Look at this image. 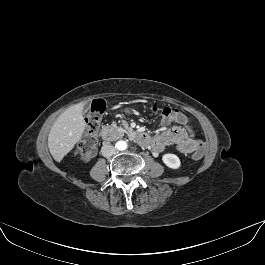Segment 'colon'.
<instances>
[{
  "instance_id": "colon-1",
  "label": "colon",
  "mask_w": 265,
  "mask_h": 265,
  "mask_svg": "<svg viewBox=\"0 0 265 265\" xmlns=\"http://www.w3.org/2000/svg\"><path fill=\"white\" fill-rule=\"evenodd\" d=\"M148 109L160 117L173 118L182 122L187 121L186 116L176 108L150 105ZM104 111L105 104L103 101L97 100L93 102L91 110L86 118L85 135L76 148L77 155L84 161L90 160L96 153L98 147V131ZM203 154V150L198 149L193 153V158L199 160L203 157Z\"/></svg>"
}]
</instances>
